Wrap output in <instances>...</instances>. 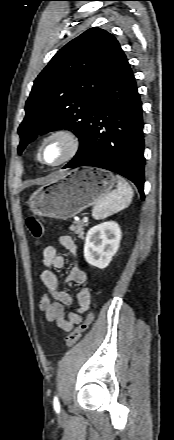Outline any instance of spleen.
I'll use <instances>...</instances> for the list:
<instances>
[{
    "mask_svg": "<svg viewBox=\"0 0 174 440\" xmlns=\"http://www.w3.org/2000/svg\"><path fill=\"white\" fill-rule=\"evenodd\" d=\"M117 189L98 200L93 208L92 216L96 220L105 219L125 208L133 198V190L128 182L117 175Z\"/></svg>",
    "mask_w": 174,
    "mask_h": 440,
    "instance_id": "spleen-1",
    "label": "spleen"
}]
</instances>
